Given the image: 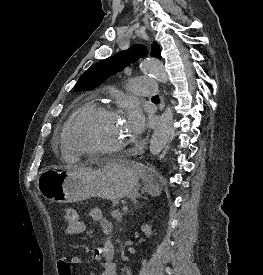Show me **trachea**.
Returning <instances> with one entry per match:
<instances>
[{"mask_svg": "<svg viewBox=\"0 0 263 275\" xmlns=\"http://www.w3.org/2000/svg\"><path fill=\"white\" fill-rule=\"evenodd\" d=\"M153 99H159V96H158V95H155V96L153 97Z\"/></svg>", "mask_w": 263, "mask_h": 275, "instance_id": "1", "label": "trachea"}]
</instances>
